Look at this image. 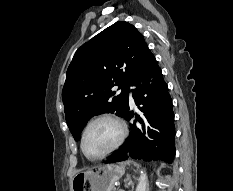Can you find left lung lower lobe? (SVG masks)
Segmentation results:
<instances>
[{
  "instance_id": "1",
  "label": "left lung lower lobe",
  "mask_w": 233,
  "mask_h": 191,
  "mask_svg": "<svg viewBox=\"0 0 233 191\" xmlns=\"http://www.w3.org/2000/svg\"><path fill=\"white\" fill-rule=\"evenodd\" d=\"M130 86L135 87L133 99L139 114L129 111L125 119L135 115L137 122L131 125V133L121 149L105 163L126 160L127 154L134 159L162 160L172 163L175 156V126L172 99L162 71L150 53L133 76Z\"/></svg>"
}]
</instances>
